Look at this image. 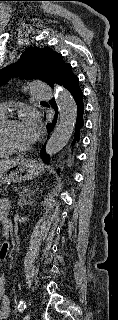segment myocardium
<instances>
[{
	"instance_id": "obj_1",
	"label": "myocardium",
	"mask_w": 118,
	"mask_h": 320,
	"mask_svg": "<svg viewBox=\"0 0 118 320\" xmlns=\"http://www.w3.org/2000/svg\"><path fill=\"white\" fill-rule=\"evenodd\" d=\"M19 123L18 119L16 118H4L0 123V144L9 152L12 153H25L30 150V146L26 147H15L13 146L6 138V130L7 128L12 125Z\"/></svg>"
}]
</instances>
